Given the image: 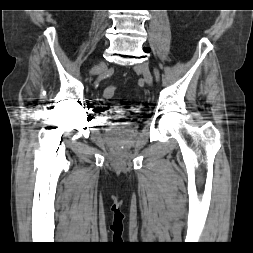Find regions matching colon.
<instances>
[{
	"mask_svg": "<svg viewBox=\"0 0 253 253\" xmlns=\"http://www.w3.org/2000/svg\"><path fill=\"white\" fill-rule=\"evenodd\" d=\"M116 91H117L116 86L110 85V86L105 88L104 96L106 98H112L115 95Z\"/></svg>",
	"mask_w": 253,
	"mask_h": 253,
	"instance_id": "5ec220e1",
	"label": "colon"
}]
</instances>
